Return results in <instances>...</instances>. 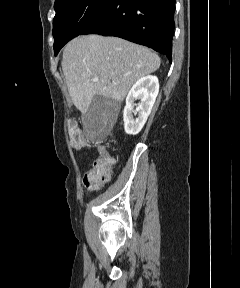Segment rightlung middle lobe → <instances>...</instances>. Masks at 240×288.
I'll return each instance as SVG.
<instances>
[{
  "label": "right lung middle lobe",
  "instance_id": "1",
  "mask_svg": "<svg viewBox=\"0 0 240 288\" xmlns=\"http://www.w3.org/2000/svg\"><path fill=\"white\" fill-rule=\"evenodd\" d=\"M112 0H56L53 19L54 53L95 19Z\"/></svg>",
  "mask_w": 240,
  "mask_h": 288
}]
</instances>
